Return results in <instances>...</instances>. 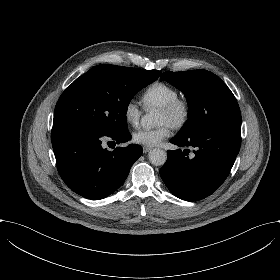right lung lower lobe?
Instances as JSON below:
<instances>
[{"mask_svg":"<svg viewBox=\"0 0 280 280\" xmlns=\"http://www.w3.org/2000/svg\"><path fill=\"white\" fill-rule=\"evenodd\" d=\"M106 137L119 144L130 140L131 134L128 129L111 135L74 126L52 129L58 172L72 191L87 199H103L116 191L142 154L137 144L108 151L102 146Z\"/></svg>","mask_w":280,"mask_h":280,"instance_id":"1","label":"right lung lower lobe"}]
</instances>
